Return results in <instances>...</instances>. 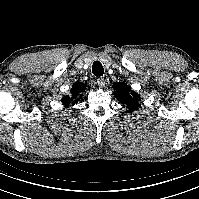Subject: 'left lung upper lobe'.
<instances>
[{
  "label": "left lung upper lobe",
  "mask_w": 199,
  "mask_h": 199,
  "mask_svg": "<svg viewBox=\"0 0 199 199\" xmlns=\"http://www.w3.org/2000/svg\"><path fill=\"white\" fill-rule=\"evenodd\" d=\"M114 89L116 90L115 97L119 102L125 104L130 112L138 108L139 95L136 92L131 91L125 83H116Z\"/></svg>",
  "instance_id": "5c2ea615"
}]
</instances>
